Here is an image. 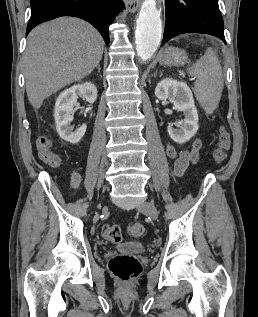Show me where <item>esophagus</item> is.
I'll return each mask as SVG.
<instances>
[{
	"instance_id": "obj_1",
	"label": "esophagus",
	"mask_w": 258,
	"mask_h": 317,
	"mask_svg": "<svg viewBox=\"0 0 258 317\" xmlns=\"http://www.w3.org/2000/svg\"><path fill=\"white\" fill-rule=\"evenodd\" d=\"M141 0H126L125 5L129 12H136L140 7Z\"/></svg>"
}]
</instances>
